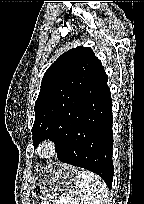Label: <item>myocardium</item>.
<instances>
[{"label": "myocardium", "mask_w": 144, "mask_h": 204, "mask_svg": "<svg viewBox=\"0 0 144 204\" xmlns=\"http://www.w3.org/2000/svg\"><path fill=\"white\" fill-rule=\"evenodd\" d=\"M59 153L58 144L51 138L41 140L37 146L36 154L41 160H51Z\"/></svg>", "instance_id": "myocardium-1"}]
</instances>
